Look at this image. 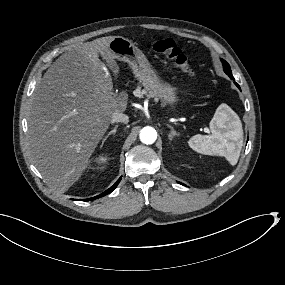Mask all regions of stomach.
<instances>
[{
	"label": "stomach",
	"instance_id": "stomach-1",
	"mask_svg": "<svg viewBox=\"0 0 285 285\" xmlns=\"http://www.w3.org/2000/svg\"><path fill=\"white\" fill-rule=\"evenodd\" d=\"M109 49L114 58L130 65L135 78L145 89L156 90L162 104L173 107L177 101L176 89L160 79L145 55L132 41L122 36H115L109 43Z\"/></svg>",
	"mask_w": 285,
	"mask_h": 285
}]
</instances>
